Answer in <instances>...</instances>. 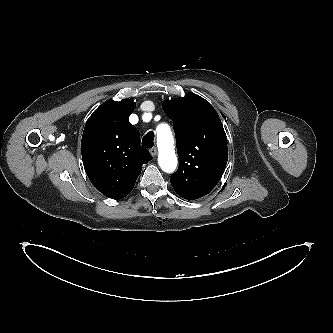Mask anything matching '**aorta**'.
Here are the masks:
<instances>
[{
  "label": "aorta",
  "mask_w": 333,
  "mask_h": 333,
  "mask_svg": "<svg viewBox=\"0 0 333 333\" xmlns=\"http://www.w3.org/2000/svg\"><path fill=\"white\" fill-rule=\"evenodd\" d=\"M157 145L159 150L158 163L165 172H173L177 166V157L174 151V140L167 124L157 127Z\"/></svg>",
  "instance_id": "1"
}]
</instances>
